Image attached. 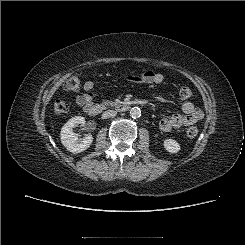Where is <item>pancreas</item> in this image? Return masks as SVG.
<instances>
[{"mask_svg":"<svg viewBox=\"0 0 245 245\" xmlns=\"http://www.w3.org/2000/svg\"><path fill=\"white\" fill-rule=\"evenodd\" d=\"M102 104L103 105H105V106H115V102H113V101H109V100H104L103 102H102Z\"/></svg>","mask_w":245,"mask_h":245,"instance_id":"1","label":"pancreas"}]
</instances>
